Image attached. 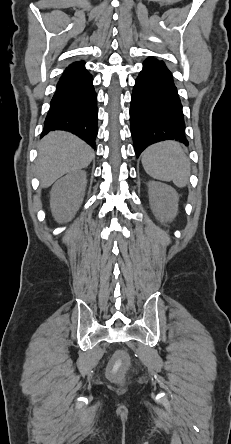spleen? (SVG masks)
<instances>
[{"label":"spleen","instance_id":"obj_1","mask_svg":"<svg viewBox=\"0 0 231 444\" xmlns=\"http://www.w3.org/2000/svg\"><path fill=\"white\" fill-rule=\"evenodd\" d=\"M146 173L161 181H173L177 187H185L190 176V162L182 146L168 140L153 144L142 154Z\"/></svg>","mask_w":231,"mask_h":444}]
</instances>
